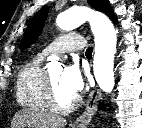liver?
I'll return each instance as SVG.
<instances>
[{
  "instance_id": "1",
  "label": "liver",
  "mask_w": 142,
  "mask_h": 128,
  "mask_svg": "<svg viewBox=\"0 0 142 128\" xmlns=\"http://www.w3.org/2000/svg\"><path fill=\"white\" fill-rule=\"evenodd\" d=\"M66 120L46 110L23 109L12 120L11 128H64Z\"/></svg>"
}]
</instances>
